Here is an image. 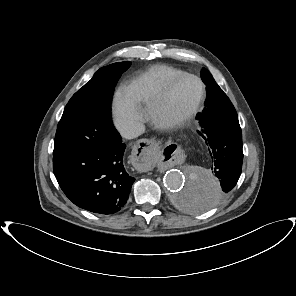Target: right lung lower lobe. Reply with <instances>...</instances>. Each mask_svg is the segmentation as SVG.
Listing matches in <instances>:
<instances>
[{"label":"right lung lower lobe","mask_w":296,"mask_h":296,"mask_svg":"<svg viewBox=\"0 0 296 296\" xmlns=\"http://www.w3.org/2000/svg\"><path fill=\"white\" fill-rule=\"evenodd\" d=\"M82 149L53 157L54 175L64 194L78 207L114 214L127 202L135 178L123 166L125 144Z\"/></svg>","instance_id":"right-lung-lower-lobe-1"}]
</instances>
